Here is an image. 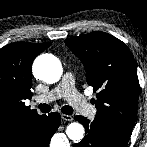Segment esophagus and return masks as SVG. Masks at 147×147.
<instances>
[{"mask_svg":"<svg viewBox=\"0 0 147 147\" xmlns=\"http://www.w3.org/2000/svg\"><path fill=\"white\" fill-rule=\"evenodd\" d=\"M61 118L65 121H73V117L71 115L62 114Z\"/></svg>","mask_w":147,"mask_h":147,"instance_id":"esophagus-1","label":"esophagus"}]
</instances>
